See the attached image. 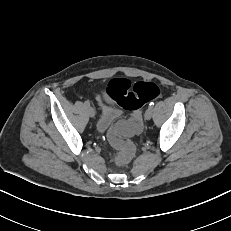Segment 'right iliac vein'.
Here are the masks:
<instances>
[{"instance_id": "63e3f726", "label": "right iliac vein", "mask_w": 231, "mask_h": 231, "mask_svg": "<svg viewBox=\"0 0 231 231\" xmlns=\"http://www.w3.org/2000/svg\"><path fill=\"white\" fill-rule=\"evenodd\" d=\"M87 110H88L90 117L94 118L95 117V110L91 106H88Z\"/></svg>"}]
</instances>
